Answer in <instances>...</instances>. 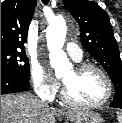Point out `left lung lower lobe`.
Segmentation results:
<instances>
[{
    "label": "left lung lower lobe",
    "mask_w": 122,
    "mask_h": 123,
    "mask_svg": "<svg viewBox=\"0 0 122 123\" xmlns=\"http://www.w3.org/2000/svg\"><path fill=\"white\" fill-rule=\"evenodd\" d=\"M110 107L122 109V99H113V102L110 104Z\"/></svg>",
    "instance_id": "obj_1"
}]
</instances>
